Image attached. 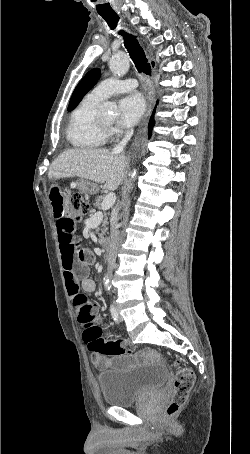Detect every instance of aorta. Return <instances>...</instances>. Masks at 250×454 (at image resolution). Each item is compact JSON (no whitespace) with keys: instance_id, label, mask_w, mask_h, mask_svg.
Segmentation results:
<instances>
[{"instance_id":"1","label":"aorta","mask_w":250,"mask_h":454,"mask_svg":"<svg viewBox=\"0 0 250 454\" xmlns=\"http://www.w3.org/2000/svg\"><path fill=\"white\" fill-rule=\"evenodd\" d=\"M129 66H130V63H129L128 55L123 51H118V52L114 53L109 60L110 70L113 73V75H115L117 77L124 76L128 72ZM100 110L104 113L113 114L116 111V107L111 102H105L101 105ZM135 178H136V171L134 170V172H132V174H131V179L134 180ZM130 188H132V187L130 186ZM104 287L107 291H110L111 285H110L108 276L104 277Z\"/></svg>"}]
</instances>
